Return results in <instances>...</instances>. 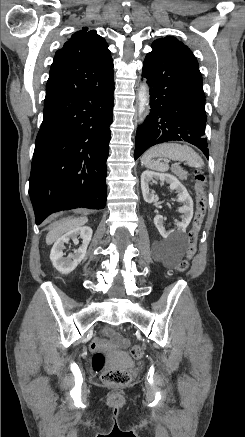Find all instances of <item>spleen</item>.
I'll use <instances>...</instances> for the list:
<instances>
[{"mask_svg": "<svg viewBox=\"0 0 245 437\" xmlns=\"http://www.w3.org/2000/svg\"><path fill=\"white\" fill-rule=\"evenodd\" d=\"M162 156L180 162L186 161L189 166L196 168H200L204 164L200 155L191 147L172 142L149 148L142 159L146 167L156 171L166 172L169 170L168 163L161 162L160 160L155 161L153 159Z\"/></svg>", "mask_w": 245, "mask_h": 437, "instance_id": "spleen-1", "label": "spleen"}]
</instances>
